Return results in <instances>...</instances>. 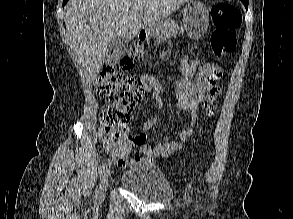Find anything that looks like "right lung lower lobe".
Returning a JSON list of instances; mask_svg holds the SVG:
<instances>
[{
  "instance_id": "obj_1",
  "label": "right lung lower lobe",
  "mask_w": 293,
  "mask_h": 219,
  "mask_svg": "<svg viewBox=\"0 0 293 219\" xmlns=\"http://www.w3.org/2000/svg\"><path fill=\"white\" fill-rule=\"evenodd\" d=\"M68 0H63V6L67 3Z\"/></svg>"
}]
</instances>
